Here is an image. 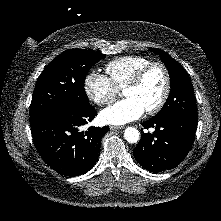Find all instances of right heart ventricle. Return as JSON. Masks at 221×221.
I'll list each match as a JSON object with an SVG mask.
<instances>
[{"instance_id": "obj_1", "label": "right heart ventricle", "mask_w": 221, "mask_h": 221, "mask_svg": "<svg viewBox=\"0 0 221 221\" xmlns=\"http://www.w3.org/2000/svg\"><path fill=\"white\" fill-rule=\"evenodd\" d=\"M150 62L143 56H122L107 63L105 71L111 82L118 89H123L135 73Z\"/></svg>"}]
</instances>
